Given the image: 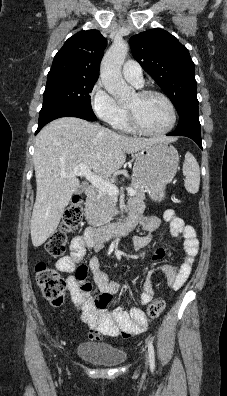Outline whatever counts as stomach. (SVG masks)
<instances>
[{
  "label": "stomach",
  "mask_w": 227,
  "mask_h": 396,
  "mask_svg": "<svg viewBox=\"0 0 227 396\" xmlns=\"http://www.w3.org/2000/svg\"><path fill=\"white\" fill-rule=\"evenodd\" d=\"M178 164L179 155L173 146L163 141L154 142L138 151L133 175L153 200L161 201Z\"/></svg>",
  "instance_id": "stomach-1"
}]
</instances>
